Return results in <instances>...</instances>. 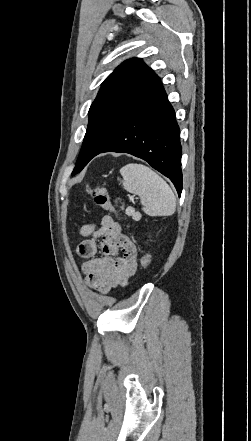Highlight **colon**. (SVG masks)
<instances>
[{
	"label": "colon",
	"mask_w": 251,
	"mask_h": 441,
	"mask_svg": "<svg viewBox=\"0 0 251 441\" xmlns=\"http://www.w3.org/2000/svg\"><path fill=\"white\" fill-rule=\"evenodd\" d=\"M87 192L93 198L96 206L101 209L117 213L116 209L111 203L107 190L102 186L88 187ZM151 257L149 254H144L140 259L142 268H147L150 264Z\"/></svg>",
	"instance_id": "colon-1"
}]
</instances>
